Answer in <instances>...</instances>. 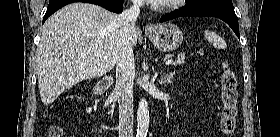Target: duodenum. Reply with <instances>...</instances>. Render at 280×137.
I'll return each instance as SVG.
<instances>
[{"mask_svg": "<svg viewBox=\"0 0 280 137\" xmlns=\"http://www.w3.org/2000/svg\"><path fill=\"white\" fill-rule=\"evenodd\" d=\"M113 84L111 78L102 79L94 88L93 95L98 98L103 95Z\"/></svg>", "mask_w": 280, "mask_h": 137, "instance_id": "duodenum-1", "label": "duodenum"}]
</instances>
